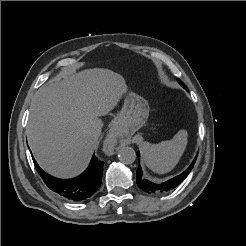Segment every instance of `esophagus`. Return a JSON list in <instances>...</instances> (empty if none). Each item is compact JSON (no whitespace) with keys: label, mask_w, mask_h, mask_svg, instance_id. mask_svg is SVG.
Wrapping results in <instances>:
<instances>
[{"label":"esophagus","mask_w":246,"mask_h":246,"mask_svg":"<svg viewBox=\"0 0 246 246\" xmlns=\"http://www.w3.org/2000/svg\"><path fill=\"white\" fill-rule=\"evenodd\" d=\"M117 137H118V130L115 126H113L109 134L104 142V148L107 153H112L114 150L116 143H117Z\"/></svg>","instance_id":"esophagus-1"}]
</instances>
